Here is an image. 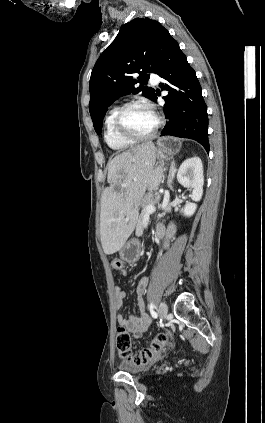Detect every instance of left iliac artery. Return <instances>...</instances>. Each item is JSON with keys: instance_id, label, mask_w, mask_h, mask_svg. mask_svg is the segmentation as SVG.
Returning a JSON list of instances; mask_svg holds the SVG:
<instances>
[{"instance_id": "44dca946", "label": "left iliac artery", "mask_w": 265, "mask_h": 423, "mask_svg": "<svg viewBox=\"0 0 265 423\" xmlns=\"http://www.w3.org/2000/svg\"><path fill=\"white\" fill-rule=\"evenodd\" d=\"M154 308H155L154 304L151 303L150 306H149L151 315H152L153 318H157V313L154 311Z\"/></svg>"}]
</instances>
